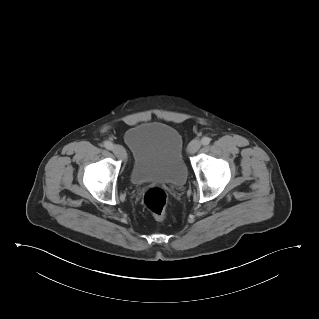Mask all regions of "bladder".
Masks as SVG:
<instances>
[{"label":"bladder","instance_id":"1","mask_svg":"<svg viewBox=\"0 0 319 319\" xmlns=\"http://www.w3.org/2000/svg\"><path fill=\"white\" fill-rule=\"evenodd\" d=\"M124 142L132 154L130 180L134 185L185 184L188 170L183 139L175 128L157 122L138 124L126 131Z\"/></svg>","mask_w":319,"mask_h":319}]
</instances>
